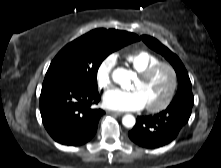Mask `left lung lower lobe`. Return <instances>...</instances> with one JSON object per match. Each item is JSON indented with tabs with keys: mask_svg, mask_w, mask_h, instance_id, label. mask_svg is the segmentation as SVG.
Instances as JSON below:
<instances>
[{
	"mask_svg": "<svg viewBox=\"0 0 221 168\" xmlns=\"http://www.w3.org/2000/svg\"><path fill=\"white\" fill-rule=\"evenodd\" d=\"M194 102H176L154 116H139L129 138L144 148H159L172 142L188 122Z\"/></svg>",
	"mask_w": 221,
	"mask_h": 168,
	"instance_id": "obj_1",
	"label": "left lung lower lobe"
}]
</instances>
